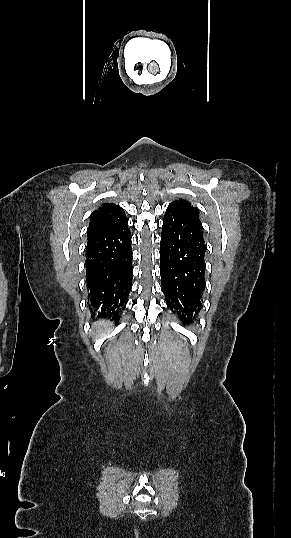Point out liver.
Instances as JSON below:
<instances>
[{
    "instance_id": "6515ba94",
    "label": "liver",
    "mask_w": 291,
    "mask_h": 538,
    "mask_svg": "<svg viewBox=\"0 0 291 538\" xmlns=\"http://www.w3.org/2000/svg\"><path fill=\"white\" fill-rule=\"evenodd\" d=\"M107 324V322L105 321H99V322H96L95 325L97 326H105ZM102 335H104V333H102Z\"/></svg>"
}]
</instances>
